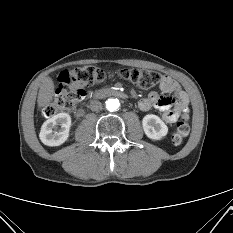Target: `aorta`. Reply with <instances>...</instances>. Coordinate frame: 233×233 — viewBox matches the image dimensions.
I'll use <instances>...</instances> for the list:
<instances>
[{
	"mask_svg": "<svg viewBox=\"0 0 233 233\" xmlns=\"http://www.w3.org/2000/svg\"><path fill=\"white\" fill-rule=\"evenodd\" d=\"M119 106H120V103L118 99L111 98L106 101V108L109 111H115L119 108Z\"/></svg>",
	"mask_w": 233,
	"mask_h": 233,
	"instance_id": "obj_1",
	"label": "aorta"
}]
</instances>
